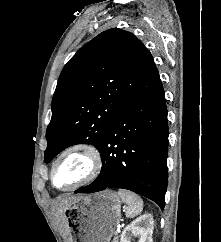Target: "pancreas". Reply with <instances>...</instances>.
Instances as JSON below:
<instances>
[{
  "label": "pancreas",
  "mask_w": 221,
  "mask_h": 242,
  "mask_svg": "<svg viewBox=\"0 0 221 242\" xmlns=\"http://www.w3.org/2000/svg\"><path fill=\"white\" fill-rule=\"evenodd\" d=\"M112 242H118V237H114Z\"/></svg>",
  "instance_id": "pancreas-1"
}]
</instances>
